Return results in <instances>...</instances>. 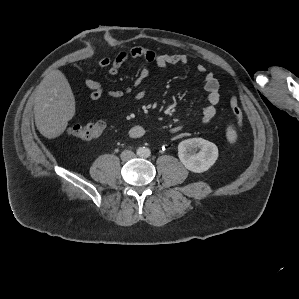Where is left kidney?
I'll use <instances>...</instances> for the list:
<instances>
[{
	"instance_id": "left-kidney-1",
	"label": "left kidney",
	"mask_w": 299,
	"mask_h": 299,
	"mask_svg": "<svg viewBox=\"0 0 299 299\" xmlns=\"http://www.w3.org/2000/svg\"><path fill=\"white\" fill-rule=\"evenodd\" d=\"M197 149L199 152H196ZM178 156L188 170L202 173L216 162L218 148L214 143L203 138H192L179 143Z\"/></svg>"
}]
</instances>
